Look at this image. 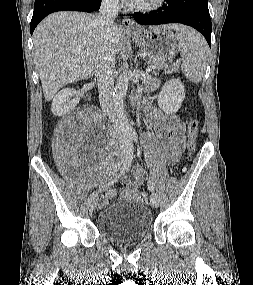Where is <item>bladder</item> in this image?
Masks as SVG:
<instances>
[{"label": "bladder", "instance_id": "obj_1", "mask_svg": "<svg viewBox=\"0 0 253 285\" xmlns=\"http://www.w3.org/2000/svg\"><path fill=\"white\" fill-rule=\"evenodd\" d=\"M98 226L102 234L113 241H136L150 231L152 214L137 201L118 202L101 210Z\"/></svg>", "mask_w": 253, "mask_h": 285}]
</instances>
